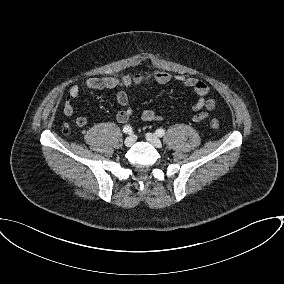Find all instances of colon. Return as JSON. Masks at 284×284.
<instances>
[{"instance_id":"5ec220e1","label":"colon","mask_w":284,"mask_h":284,"mask_svg":"<svg viewBox=\"0 0 284 284\" xmlns=\"http://www.w3.org/2000/svg\"><path fill=\"white\" fill-rule=\"evenodd\" d=\"M210 125H211V127H212L213 129H218V128L220 127L219 121H218L217 119H215V118H212V119L210 120Z\"/></svg>"}]
</instances>
